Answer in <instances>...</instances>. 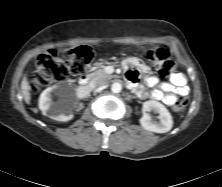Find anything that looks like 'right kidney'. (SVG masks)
Masks as SVG:
<instances>
[{"label": "right kidney", "instance_id": "1", "mask_svg": "<svg viewBox=\"0 0 222 187\" xmlns=\"http://www.w3.org/2000/svg\"><path fill=\"white\" fill-rule=\"evenodd\" d=\"M57 92V86H52L44 90L39 98V108L44 115L49 113V118L56 121H68L73 115H65V103L62 99L53 102L52 97Z\"/></svg>", "mask_w": 222, "mask_h": 187}]
</instances>
